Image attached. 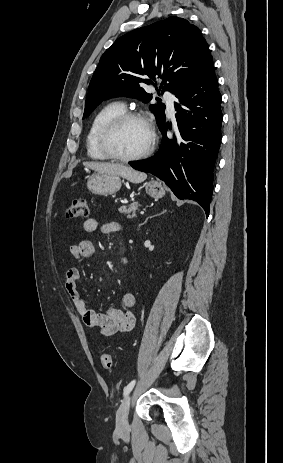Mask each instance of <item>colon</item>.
<instances>
[{
  "instance_id": "5ec220e1",
  "label": "colon",
  "mask_w": 283,
  "mask_h": 463,
  "mask_svg": "<svg viewBox=\"0 0 283 463\" xmlns=\"http://www.w3.org/2000/svg\"><path fill=\"white\" fill-rule=\"evenodd\" d=\"M89 214V206L85 199L74 200L66 209V217L68 219H84ZM101 363L104 369L112 370L113 357L109 353H105L101 357Z\"/></svg>"
}]
</instances>
